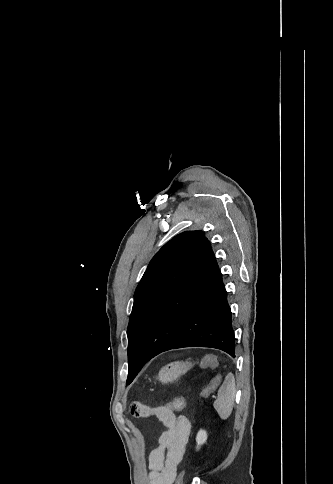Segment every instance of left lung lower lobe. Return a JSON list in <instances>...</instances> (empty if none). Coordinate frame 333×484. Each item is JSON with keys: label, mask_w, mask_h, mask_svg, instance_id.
I'll return each instance as SVG.
<instances>
[{"label": "left lung lower lobe", "mask_w": 333, "mask_h": 484, "mask_svg": "<svg viewBox=\"0 0 333 484\" xmlns=\"http://www.w3.org/2000/svg\"><path fill=\"white\" fill-rule=\"evenodd\" d=\"M184 347H211L235 357L231 310L208 240L192 254L152 313L132 362L144 366L162 352Z\"/></svg>", "instance_id": "1"}]
</instances>
